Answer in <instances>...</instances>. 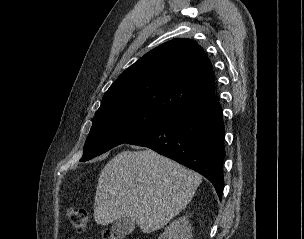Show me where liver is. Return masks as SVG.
I'll return each mask as SVG.
<instances>
[{
	"label": "liver",
	"mask_w": 304,
	"mask_h": 239,
	"mask_svg": "<svg viewBox=\"0 0 304 239\" xmlns=\"http://www.w3.org/2000/svg\"><path fill=\"white\" fill-rule=\"evenodd\" d=\"M202 177L151 149L125 150L101 171L94 202L97 224L132 218L144 233L164 227L193 198Z\"/></svg>",
	"instance_id": "liver-1"
}]
</instances>
